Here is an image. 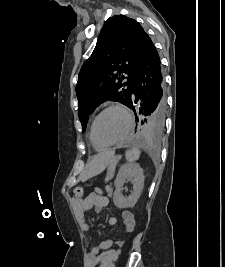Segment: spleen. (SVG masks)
<instances>
[{"label": "spleen", "instance_id": "1", "mask_svg": "<svg viewBox=\"0 0 225 267\" xmlns=\"http://www.w3.org/2000/svg\"><path fill=\"white\" fill-rule=\"evenodd\" d=\"M141 151L138 148H131L126 152V160L130 163L139 159Z\"/></svg>", "mask_w": 225, "mask_h": 267}]
</instances>
